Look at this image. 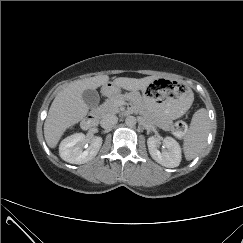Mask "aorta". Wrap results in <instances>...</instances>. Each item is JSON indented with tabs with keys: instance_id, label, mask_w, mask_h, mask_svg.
<instances>
[{
	"instance_id": "aorta-1",
	"label": "aorta",
	"mask_w": 243,
	"mask_h": 243,
	"mask_svg": "<svg viewBox=\"0 0 243 243\" xmlns=\"http://www.w3.org/2000/svg\"><path fill=\"white\" fill-rule=\"evenodd\" d=\"M137 123V120L134 116H127L126 119H125V124L128 126V127H134Z\"/></svg>"
}]
</instances>
